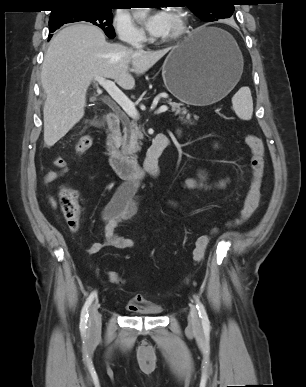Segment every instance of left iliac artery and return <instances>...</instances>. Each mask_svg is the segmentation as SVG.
<instances>
[{
    "instance_id": "left-iliac-artery-1",
    "label": "left iliac artery",
    "mask_w": 306,
    "mask_h": 387,
    "mask_svg": "<svg viewBox=\"0 0 306 387\" xmlns=\"http://www.w3.org/2000/svg\"><path fill=\"white\" fill-rule=\"evenodd\" d=\"M194 298L196 301V308L198 310L199 317L202 320V325L204 328H209L210 325H209V319H208V315L206 313V310H205L203 304L201 303V301L199 300V298L197 296H195Z\"/></svg>"
}]
</instances>
